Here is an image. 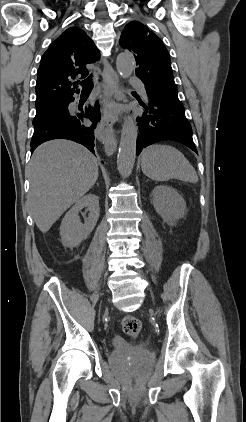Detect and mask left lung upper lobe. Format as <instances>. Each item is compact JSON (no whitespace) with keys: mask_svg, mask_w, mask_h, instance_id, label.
<instances>
[{"mask_svg":"<svg viewBox=\"0 0 246 422\" xmlns=\"http://www.w3.org/2000/svg\"><path fill=\"white\" fill-rule=\"evenodd\" d=\"M120 46L134 53L136 76L150 91L167 102L183 106L178 99L170 56L161 39L144 24L128 23L120 37Z\"/></svg>","mask_w":246,"mask_h":422,"instance_id":"obj_1","label":"left lung upper lobe"}]
</instances>
